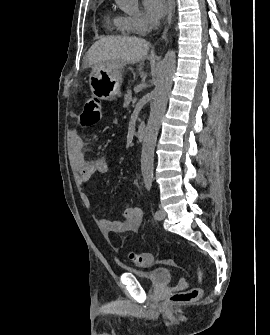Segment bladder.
I'll return each instance as SVG.
<instances>
[{
    "label": "bladder",
    "instance_id": "1",
    "mask_svg": "<svg viewBox=\"0 0 270 335\" xmlns=\"http://www.w3.org/2000/svg\"><path fill=\"white\" fill-rule=\"evenodd\" d=\"M172 272L173 270L167 268H155L148 273H141L135 270L131 271L138 279L145 280L149 282L151 286L156 285L157 287L168 285L172 277Z\"/></svg>",
    "mask_w": 270,
    "mask_h": 335
}]
</instances>
